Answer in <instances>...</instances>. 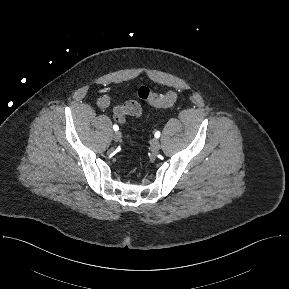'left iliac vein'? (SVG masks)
<instances>
[{
  "label": "left iliac vein",
  "instance_id": "obj_1",
  "mask_svg": "<svg viewBox=\"0 0 289 289\" xmlns=\"http://www.w3.org/2000/svg\"><path fill=\"white\" fill-rule=\"evenodd\" d=\"M150 146L152 151L157 152L160 149V141L157 138H154L151 140Z\"/></svg>",
  "mask_w": 289,
  "mask_h": 289
}]
</instances>
